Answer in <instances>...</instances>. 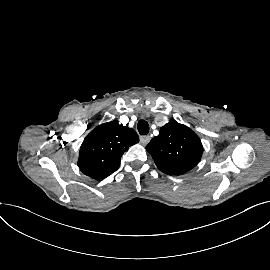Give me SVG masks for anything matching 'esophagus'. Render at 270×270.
I'll return each instance as SVG.
<instances>
[{
	"instance_id": "34e87169",
	"label": "esophagus",
	"mask_w": 270,
	"mask_h": 270,
	"mask_svg": "<svg viewBox=\"0 0 270 270\" xmlns=\"http://www.w3.org/2000/svg\"><path fill=\"white\" fill-rule=\"evenodd\" d=\"M150 140H151V137H150L149 135H144V136H141V137H140V142H141L143 145L148 144Z\"/></svg>"
}]
</instances>
